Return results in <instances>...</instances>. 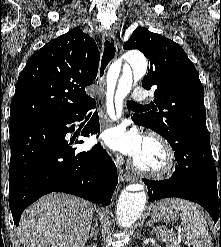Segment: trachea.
Returning a JSON list of instances; mask_svg holds the SVG:
<instances>
[{
	"label": "trachea",
	"instance_id": "trachea-1",
	"mask_svg": "<svg viewBox=\"0 0 221 247\" xmlns=\"http://www.w3.org/2000/svg\"><path fill=\"white\" fill-rule=\"evenodd\" d=\"M127 106L133 110L145 109L148 107L146 105H140L134 101H127Z\"/></svg>",
	"mask_w": 221,
	"mask_h": 247
}]
</instances>
